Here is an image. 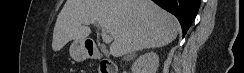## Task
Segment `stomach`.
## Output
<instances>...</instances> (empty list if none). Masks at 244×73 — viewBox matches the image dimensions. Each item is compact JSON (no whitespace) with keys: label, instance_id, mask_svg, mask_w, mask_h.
Wrapping results in <instances>:
<instances>
[{"label":"stomach","instance_id":"0dacf381","mask_svg":"<svg viewBox=\"0 0 244 73\" xmlns=\"http://www.w3.org/2000/svg\"><path fill=\"white\" fill-rule=\"evenodd\" d=\"M70 55L76 61H83L88 57V50L84 41H74L70 46Z\"/></svg>","mask_w":244,"mask_h":73}]
</instances>
